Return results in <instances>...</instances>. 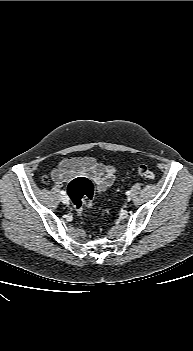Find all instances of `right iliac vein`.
<instances>
[{"label": "right iliac vein", "instance_id": "63e3f726", "mask_svg": "<svg viewBox=\"0 0 193 351\" xmlns=\"http://www.w3.org/2000/svg\"><path fill=\"white\" fill-rule=\"evenodd\" d=\"M61 201L64 204H68L69 203V197L67 195L62 196Z\"/></svg>", "mask_w": 193, "mask_h": 351}]
</instances>
